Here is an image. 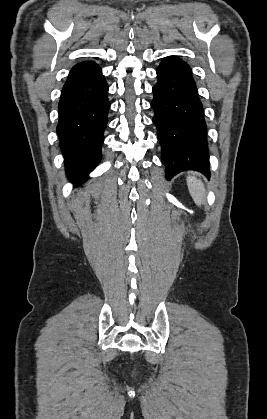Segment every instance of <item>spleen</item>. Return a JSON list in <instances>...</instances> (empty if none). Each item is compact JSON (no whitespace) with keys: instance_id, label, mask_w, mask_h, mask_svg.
Instances as JSON below:
<instances>
[{"instance_id":"spleen-1","label":"spleen","mask_w":267,"mask_h":419,"mask_svg":"<svg viewBox=\"0 0 267 419\" xmlns=\"http://www.w3.org/2000/svg\"><path fill=\"white\" fill-rule=\"evenodd\" d=\"M187 185L194 202L201 206L205 201L206 190L202 181L193 175L187 177Z\"/></svg>"}]
</instances>
